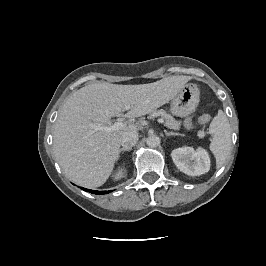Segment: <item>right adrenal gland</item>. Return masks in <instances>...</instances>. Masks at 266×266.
Returning a JSON list of instances; mask_svg holds the SVG:
<instances>
[{
	"instance_id": "1",
	"label": "right adrenal gland",
	"mask_w": 266,
	"mask_h": 266,
	"mask_svg": "<svg viewBox=\"0 0 266 266\" xmlns=\"http://www.w3.org/2000/svg\"><path fill=\"white\" fill-rule=\"evenodd\" d=\"M130 150H131V149L121 148V149H120V153H121V152H125V151H130Z\"/></svg>"
}]
</instances>
